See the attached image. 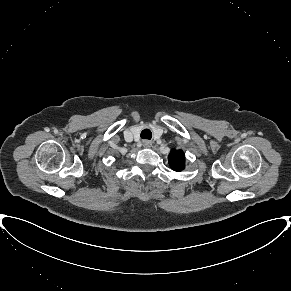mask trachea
<instances>
[{"label":"trachea","instance_id":"obj_1","mask_svg":"<svg viewBox=\"0 0 291 291\" xmlns=\"http://www.w3.org/2000/svg\"><path fill=\"white\" fill-rule=\"evenodd\" d=\"M141 138L142 139H151L152 138V133L149 129H144L142 132H141Z\"/></svg>","mask_w":291,"mask_h":291}]
</instances>
